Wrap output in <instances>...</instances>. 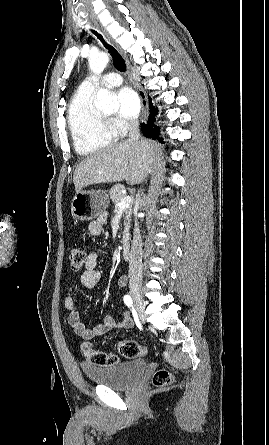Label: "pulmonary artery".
I'll return each instance as SVG.
<instances>
[{
    "instance_id": "1",
    "label": "pulmonary artery",
    "mask_w": 269,
    "mask_h": 445,
    "mask_svg": "<svg viewBox=\"0 0 269 445\" xmlns=\"http://www.w3.org/2000/svg\"><path fill=\"white\" fill-rule=\"evenodd\" d=\"M122 84V78L118 73L111 72L101 78L95 76L87 77L81 84L84 89L95 91L99 85L116 87Z\"/></svg>"
}]
</instances>
